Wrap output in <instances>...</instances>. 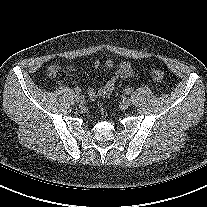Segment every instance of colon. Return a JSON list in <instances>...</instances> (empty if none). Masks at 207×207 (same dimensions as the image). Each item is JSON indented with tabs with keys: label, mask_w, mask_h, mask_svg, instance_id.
<instances>
[{
	"label": "colon",
	"mask_w": 207,
	"mask_h": 207,
	"mask_svg": "<svg viewBox=\"0 0 207 207\" xmlns=\"http://www.w3.org/2000/svg\"><path fill=\"white\" fill-rule=\"evenodd\" d=\"M149 74L151 76V78L155 81H161L164 78V73L157 68H151L149 70Z\"/></svg>",
	"instance_id": "5ec220e1"
}]
</instances>
